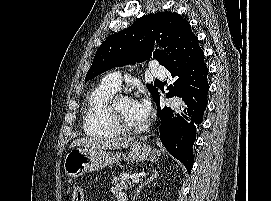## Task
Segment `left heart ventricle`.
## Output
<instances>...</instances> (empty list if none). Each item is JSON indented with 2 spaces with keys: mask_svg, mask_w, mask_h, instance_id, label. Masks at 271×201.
I'll return each mask as SVG.
<instances>
[{
  "mask_svg": "<svg viewBox=\"0 0 271 201\" xmlns=\"http://www.w3.org/2000/svg\"><path fill=\"white\" fill-rule=\"evenodd\" d=\"M115 110L121 120L129 125L138 126L145 121L136 116L128 98L119 101Z\"/></svg>",
  "mask_w": 271,
  "mask_h": 201,
  "instance_id": "obj_1",
  "label": "left heart ventricle"
}]
</instances>
